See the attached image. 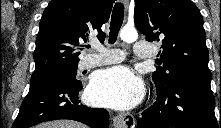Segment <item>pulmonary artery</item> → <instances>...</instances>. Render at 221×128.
Here are the masks:
<instances>
[{"label": "pulmonary artery", "instance_id": "e3ab8cb5", "mask_svg": "<svg viewBox=\"0 0 221 128\" xmlns=\"http://www.w3.org/2000/svg\"><path fill=\"white\" fill-rule=\"evenodd\" d=\"M133 48L135 59L150 58L154 54V46L144 40L135 42ZM93 49L96 53H90L80 61L81 69L116 63L124 58V53L118 49H107L100 44L93 45Z\"/></svg>", "mask_w": 221, "mask_h": 128}]
</instances>
